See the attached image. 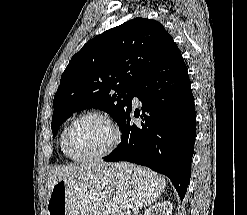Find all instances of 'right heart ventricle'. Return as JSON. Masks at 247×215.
I'll use <instances>...</instances> for the list:
<instances>
[{"mask_svg": "<svg viewBox=\"0 0 247 215\" xmlns=\"http://www.w3.org/2000/svg\"><path fill=\"white\" fill-rule=\"evenodd\" d=\"M67 126L68 125H65L62 130H61V133H60V137H59V144H60V149L63 153V155L69 159H71L66 151V148H65V142H64V139H65V132H66V129H67Z\"/></svg>", "mask_w": 247, "mask_h": 215, "instance_id": "right-heart-ventricle-1", "label": "right heart ventricle"}]
</instances>
